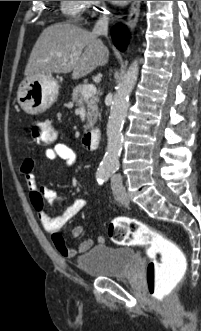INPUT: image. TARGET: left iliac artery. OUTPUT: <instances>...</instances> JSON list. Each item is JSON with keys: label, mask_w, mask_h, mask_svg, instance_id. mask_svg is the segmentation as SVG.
<instances>
[{"label": "left iliac artery", "mask_w": 201, "mask_h": 331, "mask_svg": "<svg viewBox=\"0 0 201 331\" xmlns=\"http://www.w3.org/2000/svg\"><path fill=\"white\" fill-rule=\"evenodd\" d=\"M115 172L114 169H108V170H102L101 172H99V174L97 175V181L99 182V184L104 183L105 181L108 180L109 176L111 174H113Z\"/></svg>", "instance_id": "obj_1"}]
</instances>
